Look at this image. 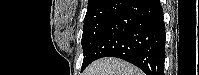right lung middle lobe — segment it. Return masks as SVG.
Returning <instances> with one entry per match:
<instances>
[{
    "label": "right lung middle lobe",
    "mask_w": 199,
    "mask_h": 75,
    "mask_svg": "<svg viewBox=\"0 0 199 75\" xmlns=\"http://www.w3.org/2000/svg\"><path fill=\"white\" fill-rule=\"evenodd\" d=\"M127 1L128 0H107L103 4L90 9L87 8L82 35L84 60L81 70L89 64L90 55L95 44Z\"/></svg>",
    "instance_id": "dd1d6c3e"
}]
</instances>
